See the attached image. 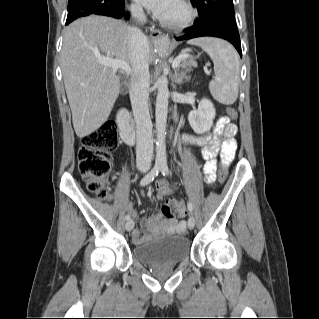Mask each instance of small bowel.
Instances as JSON below:
<instances>
[{
  "instance_id": "obj_1",
  "label": "small bowel",
  "mask_w": 319,
  "mask_h": 319,
  "mask_svg": "<svg viewBox=\"0 0 319 319\" xmlns=\"http://www.w3.org/2000/svg\"><path fill=\"white\" fill-rule=\"evenodd\" d=\"M238 133L237 126L231 122L228 116L220 117L213 129V136L202 135L194 136L188 135L186 141L190 144L201 149V155L206 160L202 167L205 181L207 183H213L216 180V160L215 156L220 151L222 162L227 166L233 159L235 150L237 147L236 136ZM225 137L222 139V137ZM159 196L170 192L168 184L165 181L158 183ZM142 195H145V191H142ZM181 206L183 213L180 216L186 214V207L181 199H175ZM126 211L132 216H136L137 212L131 202L127 203ZM143 229L145 236L143 237L139 230L135 229L132 234V240L135 244H140L147 240L149 237L161 231L184 233L186 231V223L183 220H171V221H144Z\"/></svg>"
}]
</instances>
